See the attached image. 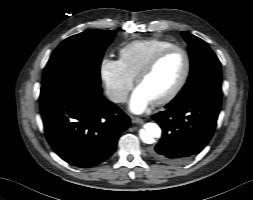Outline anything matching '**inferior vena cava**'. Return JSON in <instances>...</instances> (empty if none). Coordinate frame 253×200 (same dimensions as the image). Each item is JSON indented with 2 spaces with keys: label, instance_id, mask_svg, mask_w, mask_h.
Masks as SVG:
<instances>
[{
  "label": "inferior vena cava",
  "instance_id": "inferior-vena-cava-1",
  "mask_svg": "<svg viewBox=\"0 0 253 200\" xmlns=\"http://www.w3.org/2000/svg\"><path fill=\"white\" fill-rule=\"evenodd\" d=\"M108 97L115 103H121L127 100V94L124 92L111 91L108 93Z\"/></svg>",
  "mask_w": 253,
  "mask_h": 200
}]
</instances>
